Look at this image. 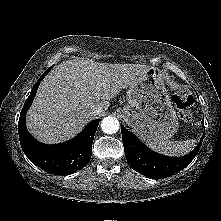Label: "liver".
<instances>
[{
  "label": "liver",
  "mask_w": 221,
  "mask_h": 221,
  "mask_svg": "<svg viewBox=\"0 0 221 221\" xmlns=\"http://www.w3.org/2000/svg\"><path fill=\"white\" fill-rule=\"evenodd\" d=\"M148 69L146 65L109 64L89 59L62 62L41 82L27 112L30 133L45 144L73 138L92 119L93 106L101 112L107 110L109 101L145 76Z\"/></svg>",
  "instance_id": "liver-1"
}]
</instances>
